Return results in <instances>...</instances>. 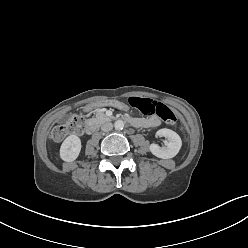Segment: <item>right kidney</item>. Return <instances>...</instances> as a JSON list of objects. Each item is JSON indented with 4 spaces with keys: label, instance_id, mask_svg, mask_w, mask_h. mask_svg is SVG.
Returning a JSON list of instances; mask_svg holds the SVG:
<instances>
[{
    "label": "right kidney",
    "instance_id": "ca27d5eb",
    "mask_svg": "<svg viewBox=\"0 0 248 248\" xmlns=\"http://www.w3.org/2000/svg\"><path fill=\"white\" fill-rule=\"evenodd\" d=\"M81 151V140L76 135H69L62 143L60 157L66 162L76 160Z\"/></svg>",
    "mask_w": 248,
    "mask_h": 248
}]
</instances>
